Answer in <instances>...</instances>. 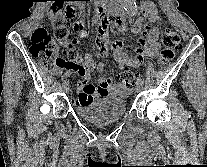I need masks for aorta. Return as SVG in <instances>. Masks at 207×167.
Wrapping results in <instances>:
<instances>
[{
	"instance_id": "1",
	"label": "aorta",
	"mask_w": 207,
	"mask_h": 167,
	"mask_svg": "<svg viewBox=\"0 0 207 167\" xmlns=\"http://www.w3.org/2000/svg\"><path fill=\"white\" fill-rule=\"evenodd\" d=\"M120 2L123 5L129 17H133L136 15L137 7H136L135 0H120Z\"/></svg>"
}]
</instances>
